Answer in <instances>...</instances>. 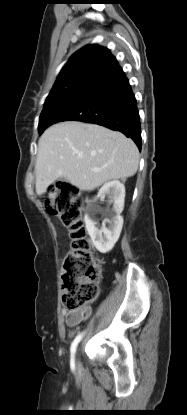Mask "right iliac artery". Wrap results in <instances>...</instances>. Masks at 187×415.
Masks as SVG:
<instances>
[{"label": "right iliac artery", "mask_w": 187, "mask_h": 415, "mask_svg": "<svg viewBox=\"0 0 187 415\" xmlns=\"http://www.w3.org/2000/svg\"><path fill=\"white\" fill-rule=\"evenodd\" d=\"M82 336H83V333L79 334L71 344L70 351H71V365L72 366L74 365V356H75V353H76V348H77L79 342L81 341Z\"/></svg>", "instance_id": "obj_1"}]
</instances>
